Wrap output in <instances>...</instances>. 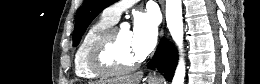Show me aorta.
<instances>
[{"label":"aorta","instance_id":"aorta-1","mask_svg":"<svg viewBox=\"0 0 260 84\" xmlns=\"http://www.w3.org/2000/svg\"><path fill=\"white\" fill-rule=\"evenodd\" d=\"M166 22L169 32L178 46L180 58L172 84H183L185 78V61L183 58V20L182 0H166Z\"/></svg>","mask_w":260,"mask_h":84}]
</instances>
